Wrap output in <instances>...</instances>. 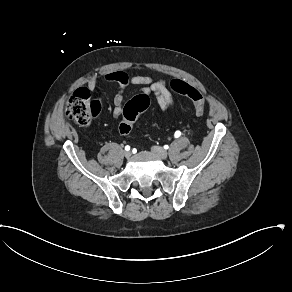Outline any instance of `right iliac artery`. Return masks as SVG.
I'll list each match as a JSON object with an SVG mask.
<instances>
[{
    "label": "right iliac artery",
    "instance_id": "82829eb1",
    "mask_svg": "<svg viewBox=\"0 0 292 292\" xmlns=\"http://www.w3.org/2000/svg\"><path fill=\"white\" fill-rule=\"evenodd\" d=\"M125 150H126V151H129V150H130V146H128V145L125 146Z\"/></svg>",
    "mask_w": 292,
    "mask_h": 292
}]
</instances>
